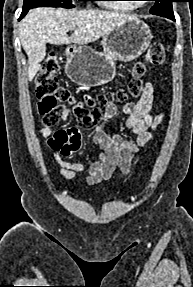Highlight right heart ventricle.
I'll return each mask as SVG.
<instances>
[{"label":"right heart ventricle","mask_w":193,"mask_h":287,"mask_svg":"<svg viewBox=\"0 0 193 287\" xmlns=\"http://www.w3.org/2000/svg\"><path fill=\"white\" fill-rule=\"evenodd\" d=\"M104 6L110 10L119 11V12H129L133 7L129 4L119 3L117 0H107Z\"/></svg>","instance_id":"e07e8e85"}]
</instances>
